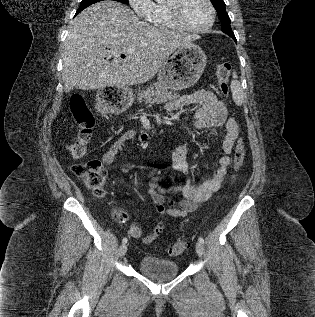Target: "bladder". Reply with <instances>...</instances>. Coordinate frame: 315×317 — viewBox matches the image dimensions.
Returning <instances> with one entry per match:
<instances>
[{
	"label": "bladder",
	"instance_id": "bladder-1",
	"mask_svg": "<svg viewBox=\"0 0 315 317\" xmlns=\"http://www.w3.org/2000/svg\"><path fill=\"white\" fill-rule=\"evenodd\" d=\"M138 269L144 275L159 280L173 278L180 272L179 265L175 261L153 256L142 257Z\"/></svg>",
	"mask_w": 315,
	"mask_h": 317
}]
</instances>
